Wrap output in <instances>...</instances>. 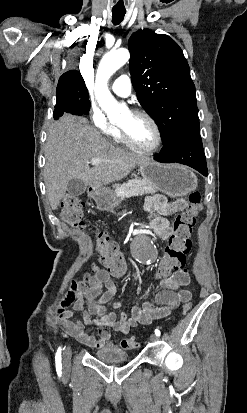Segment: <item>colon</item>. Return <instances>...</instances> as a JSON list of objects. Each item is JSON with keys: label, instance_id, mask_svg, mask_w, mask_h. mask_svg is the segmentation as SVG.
Listing matches in <instances>:
<instances>
[{"label": "colon", "instance_id": "obj_1", "mask_svg": "<svg viewBox=\"0 0 247 413\" xmlns=\"http://www.w3.org/2000/svg\"><path fill=\"white\" fill-rule=\"evenodd\" d=\"M190 208L188 211L179 215L172 222L174 228L169 244L163 252V259L160 267L157 269V274L160 277H165L172 265H183L186 259V253L190 250L189 228L194 227L197 221V215L202 209L201 195L199 192H191L188 195ZM61 219L70 227L77 230H82L85 227L83 218V203L79 197L74 195H66L60 206ZM99 258L105 262L112 275L123 274L127 271L128 266L123 260L126 254L123 250L118 249L116 245L109 241L105 233H100L97 236ZM191 302H186L182 306V313L186 314L191 310ZM123 349H129L133 346L131 340H122L120 343Z\"/></svg>", "mask_w": 247, "mask_h": 413}]
</instances>
